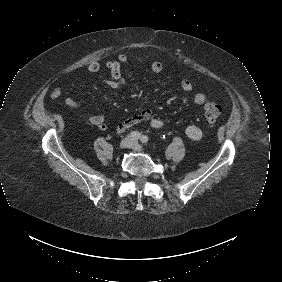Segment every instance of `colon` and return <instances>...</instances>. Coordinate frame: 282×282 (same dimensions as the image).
I'll return each instance as SVG.
<instances>
[{
    "instance_id": "5ec220e1",
    "label": "colon",
    "mask_w": 282,
    "mask_h": 282,
    "mask_svg": "<svg viewBox=\"0 0 282 282\" xmlns=\"http://www.w3.org/2000/svg\"><path fill=\"white\" fill-rule=\"evenodd\" d=\"M204 115L210 125H214L220 118L222 109L220 105L214 100H205Z\"/></svg>"
}]
</instances>
